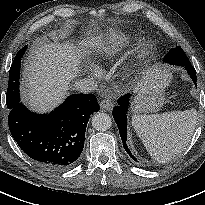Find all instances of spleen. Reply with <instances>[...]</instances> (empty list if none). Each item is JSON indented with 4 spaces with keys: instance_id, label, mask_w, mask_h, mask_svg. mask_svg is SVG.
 <instances>
[{
    "instance_id": "3e777b00",
    "label": "spleen",
    "mask_w": 205,
    "mask_h": 205,
    "mask_svg": "<svg viewBox=\"0 0 205 205\" xmlns=\"http://www.w3.org/2000/svg\"><path fill=\"white\" fill-rule=\"evenodd\" d=\"M197 120L195 109L132 116V125L151 157L159 163L175 158L189 144Z\"/></svg>"
}]
</instances>
